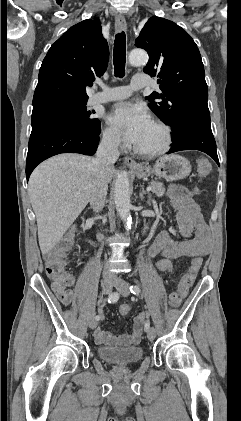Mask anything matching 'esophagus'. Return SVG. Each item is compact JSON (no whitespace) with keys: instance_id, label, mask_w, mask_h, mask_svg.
Segmentation results:
<instances>
[{"instance_id":"esophagus-1","label":"esophagus","mask_w":241,"mask_h":421,"mask_svg":"<svg viewBox=\"0 0 241 421\" xmlns=\"http://www.w3.org/2000/svg\"><path fill=\"white\" fill-rule=\"evenodd\" d=\"M115 29L117 32H122L127 30V23L123 17H117L115 19ZM124 163L131 169L138 168V164L131 157H124Z\"/></svg>"}]
</instances>
